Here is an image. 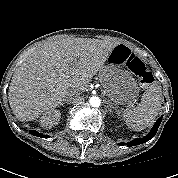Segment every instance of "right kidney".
<instances>
[{"label": "right kidney", "instance_id": "1", "mask_svg": "<svg viewBox=\"0 0 178 178\" xmlns=\"http://www.w3.org/2000/svg\"><path fill=\"white\" fill-rule=\"evenodd\" d=\"M61 113L58 110H50L43 113L40 118V124L43 128H51L58 124Z\"/></svg>", "mask_w": 178, "mask_h": 178}]
</instances>
